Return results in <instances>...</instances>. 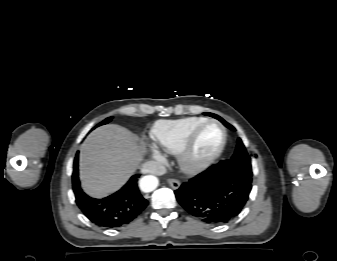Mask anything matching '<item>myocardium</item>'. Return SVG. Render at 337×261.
I'll use <instances>...</instances> for the list:
<instances>
[{
  "label": "myocardium",
  "instance_id": "myocardium-1",
  "mask_svg": "<svg viewBox=\"0 0 337 261\" xmlns=\"http://www.w3.org/2000/svg\"><path fill=\"white\" fill-rule=\"evenodd\" d=\"M209 125H216L222 133V139L217 149L201 160L192 158V150L200 132ZM227 143V131L217 120L209 119L194 128L186 138L183 146L177 153V160L182 171L188 174H197L208 169L223 153Z\"/></svg>",
  "mask_w": 337,
  "mask_h": 261
}]
</instances>
